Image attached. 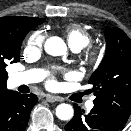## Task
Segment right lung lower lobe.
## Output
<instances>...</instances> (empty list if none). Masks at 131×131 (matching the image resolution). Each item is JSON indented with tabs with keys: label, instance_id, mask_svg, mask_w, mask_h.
<instances>
[{
	"label": "right lung lower lobe",
	"instance_id": "obj_1",
	"mask_svg": "<svg viewBox=\"0 0 131 131\" xmlns=\"http://www.w3.org/2000/svg\"><path fill=\"white\" fill-rule=\"evenodd\" d=\"M38 98L12 91L0 96V131H24Z\"/></svg>",
	"mask_w": 131,
	"mask_h": 131
}]
</instances>
